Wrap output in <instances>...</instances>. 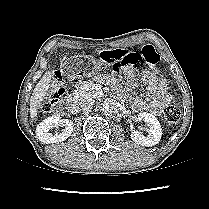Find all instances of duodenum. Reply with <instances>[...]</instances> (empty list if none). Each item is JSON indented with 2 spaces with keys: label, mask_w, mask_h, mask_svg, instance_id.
Here are the masks:
<instances>
[{
  "label": "duodenum",
  "mask_w": 209,
  "mask_h": 209,
  "mask_svg": "<svg viewBox=\"0 0 209 209\" xmlns=\"http://www.w3.org/2000/svg\"><path fill=\"white\" fill-rule=\"evenodd\" d=\"M79 84V82H76ZM77 102V95L75 93L69 94L64 99V104L68 107H74Z\"/></svg>",
  "instance_id": "duodenum-1"
}]
</instances>
